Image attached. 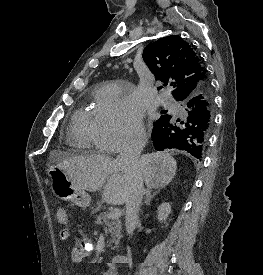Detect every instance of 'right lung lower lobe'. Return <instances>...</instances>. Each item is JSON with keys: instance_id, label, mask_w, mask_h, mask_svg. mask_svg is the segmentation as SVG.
<instances>
[{"instance_id": "right-lung-lower-lobe-1", "label": "right lung lower lobe", "mask_w": 263, "mask_h": 275, "mask_svg": "<svg viewBox=\"0 0 263 275\" xmlns=\"http://www.w3.org/2000/svg\"><path fill=\"white\" fill-rule=\"evenodd\" d=\"M183 101L185 117L177 119L173 115H163L155 123L152 140L155 149L185 150L198 160L202 158L212 123L209 122L213 105L212 89L209 82L192 95L177 99Z\"/></svg>"}]
</instances>
